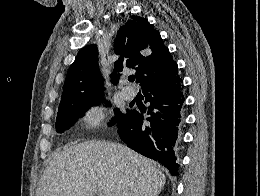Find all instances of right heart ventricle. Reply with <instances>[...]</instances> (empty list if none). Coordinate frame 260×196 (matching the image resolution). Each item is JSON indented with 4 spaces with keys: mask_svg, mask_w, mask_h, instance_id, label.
Masks as SVG:
<instances>
[{
    "mask_svg": "<svg viewBox=\"0 0 260 196\" xmlns=\"http://www.w3.org/2000/svg\"><path fill=\"white\" fill-rule=\"evenodd\" d=\"M64 192H83V190H65Z\"/></svg>",
    "mask_w": 260,
    "mask_h": 196,
    "instance_id": "e07e8e85",
    "label": "right heart ventricle"
}]
</instances>
